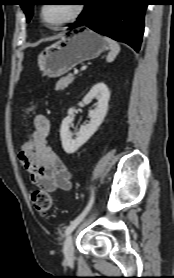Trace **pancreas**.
Here are the masks:
<instances>
[{
  "label": "pancreas",
  "mask_w": 174,
  "mask_h": 278,
  "mask_svg": "<svg viewBox=\"0 0 174 278\" xmlns=\"http://www.w3.org/2000/svg\"><path fill=\"white\" fill-rule=\"evenodd\" d=\"M74 80V75L73 74H68L66 77H62L55 86V90L57 91H62L66 87H68L69 84H71Z\"/></svg>",
  "instance_id": "1"
}]
</instances>
